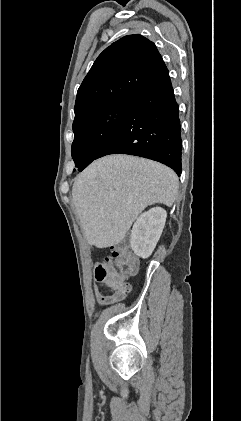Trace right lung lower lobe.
Here are the masks:
<instances>
[{"label":"right lung lower lobe","instance_id":"98d812e1","mask_svg":"<svg viewBox=\"0 0 241 421\" xmlns=\"http://www.w3.org/2000/svg\"><path fill=\"white\" fill-rule=\"evenodd\" d=\"M181 151L179 106L165 68L131 98L119 128L95 159L109 154L140 156L169 166L179 176Z\"/></svg>","mask_w":241,"mask_h":421}]
</instances>
